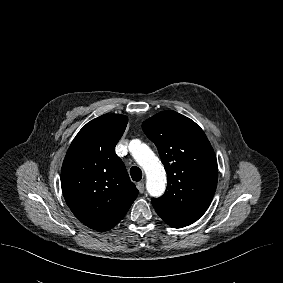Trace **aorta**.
I'll return each instance as SVG.
<instances>
[{
	"label": "aorta",
	"mask_w": 283,
	"mask_h": 283,
	"mask_svg": "<svg viewBox=\"0 0 283 283\" xmlns=\"http://www.w3.org/2000/svg\"><path fill=\"white\" fill-rule=\"evenodd\" d=\"M129 149L146 173L148 193L153 197L161 196L166 188V175L159 159L146 144L138 140H132Z\"/></svg>",
	"instance_id": "aorta-1"
}]
</instances>
